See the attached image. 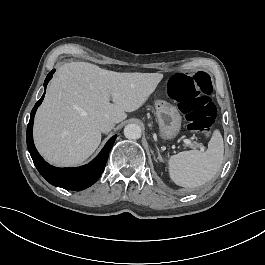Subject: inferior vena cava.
I'll use <instances>...</instances> for the list:
<instances>
[{
	"mask_svg": "<svg viewBox=\"0 0 265 265\" xmlns=\"http://www.w3.org/2000/svg\"><path fill=\"white\" fill-rule=\"evenodd\" d=\"M98 129L103 133H108L115 126V121L108 117L100 118L96 121Z\"/></svg>",
	"mask_w": 265,
	"mask_h": 265,
	"instance_id": "602c4592",
	"label": "inferior vena cava"
}]
</instances>
